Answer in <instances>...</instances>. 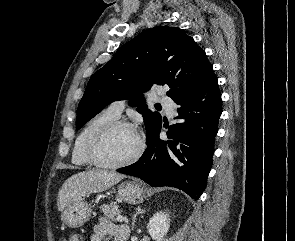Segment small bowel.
<instances>
[{
	"label": "small bowel",
	"mask_w": 295,
	"mask_h": 241,
	"mask_svg": "<svg viewBox=\"0 0 295 241\" xmlns=\"http://www.w3.org/2000/svg\"><path fill=\"white\" fill-rule=\"evenodd\" d=\"M128 235L129 228L127 226L116 225L102 218L94 225L89 241H103L106 237H110L112 241H126Z\"/></svg>",
	"instance_id": "c3829d8e"
}]
</instances>
